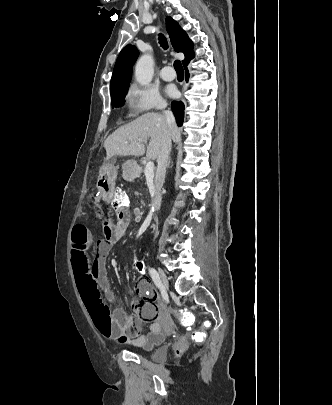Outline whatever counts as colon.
<instances>
[{"instance_id": "1", "label": "colon", "mask_w": 332, "mask_h": 405, "mask_svg": "<svg viewBox=\"0 0 332 405\" xmlns=\"http://www.w3.org/2000/svg\"><path fill=\"white\" fill-rule=\"evenodd\" d=\"M112 189L114 192V197L112 199V203L109 204V211L124 212L125 208H129L131 206V201L128 199L125 189H123L122 184H113ZM132 265L134 269L138 270L139 272L145 273L147 271L144 258H133ZM180 312V323L184 328H191L194 320L193 316L188 312H183L182 310ZM203 336V332L196 333L197 339H200Z\"/></svg>"}]
</instances>
